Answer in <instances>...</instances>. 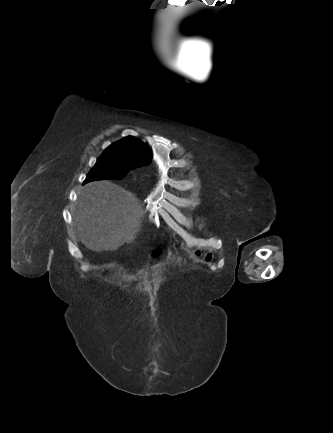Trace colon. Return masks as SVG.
<instances>
[{
	"mask_svg": "<svg viewBox=\"0 0 333 433\" xmlns=\"http://www.w3.org/2000/svg\"><path fill=\"white\" fill-rule=\"evenodd\" d=\"M150 250H151L152 252H155V251L157 250V247H156L155 245H152V246L150 247Z\"/></svg>",
	"mask_w": 333,
	"mask_h": 433,
	"instance_id": "colon-1",
	"label": "colon"
}]
</instances>
